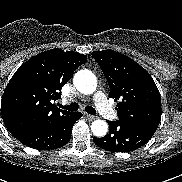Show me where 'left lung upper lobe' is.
Masks as SVG:
<instances>
[{
  "label": "left lung upper lobe",
  "mask_w": 182,
  "mask_h": 182,
  "mask_svg": "<svg viewBox=\"0 0 182 182\" xmlns=\"http://www.w3.org/2000/svg\"><path fill=\"white\" fill-rule=\"evenodd\" d=\"M110 87V98L118 101L119 120L157 128L161 119V97L151 75L137 62L114 50L93 51Z\"/></svg>",
  "instance_id": "1"
}]
</instances>
